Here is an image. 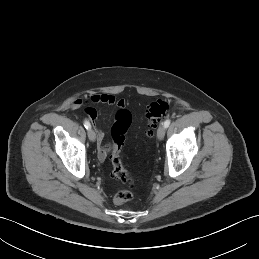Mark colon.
Wrapping results in <instances>:
<instances>
[{"mask_svg": "<svg viewBox=\"0 0 259 259\" xmlns=\"http://www.w3.org/2000/svg\"><path fill=\"white\" fill-rule=\"evenodd\" d=\"M170 104L163 100H156L149 104L146 111L147 135L153 137L157 124L166 116ZM132 123V115L127 109H120L114 117V123L111 128V136L113 140V153L111 156V165L113 168V176L115 180L132 185L133 178L125 169L121 152L125 142L126 133ZM133 194L130 190L122 189L115 193L114 202L117 204L125 203L131 200Z\"/></svg>", "mask_w": 259, "mask_h": 259, "instance_id": "1", "label": "colon"}]
</instances>
